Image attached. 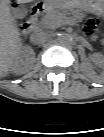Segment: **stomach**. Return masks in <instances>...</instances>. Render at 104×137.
I'll return each mask as SVG.
<instances>
[{"label": "stomach", "instance_id": "1", "mask_svg": "<svg viewBox=\"0 0 104 137\" xmlns=\"http://www.w3.org/2000/svg\"><path fill=\"white\" fill-rule=\"evenodd\" d=\"M71 1V2H69ZM45 5L48 8L79 9L88 12H98L103 5V0H46Z\"/></svg>", "mask_w": 104, "mask_h": 137}]
</instances>
